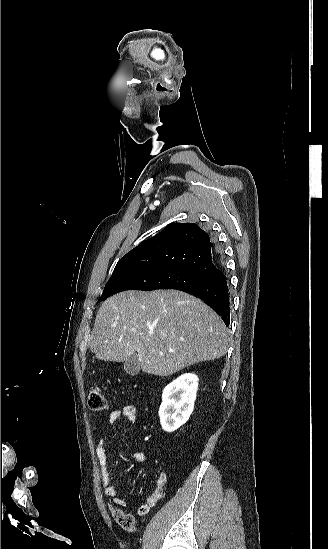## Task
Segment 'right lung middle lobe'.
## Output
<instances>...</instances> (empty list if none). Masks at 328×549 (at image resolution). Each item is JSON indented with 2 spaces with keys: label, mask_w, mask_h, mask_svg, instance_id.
I'll return each mask as SVG.
<instances>
[{
  "label": "right lung middle lobe",
  "mask_w": 328,
  "mask_h": 549,
  "mask_svg": "<svg viewBox=\"0 0 328 549\" xmlns=\"http://www.w3.org/2000/svg\"><path fill=\"white\" fill-rule=\"evenodd\" d=\"M207 280L206 277L184 269L136 266L113 272L99 301L120 291L135 289L151 291L156 289H177Z\"/></svg>",
  "instance_id": "1"
}]
</instances>
